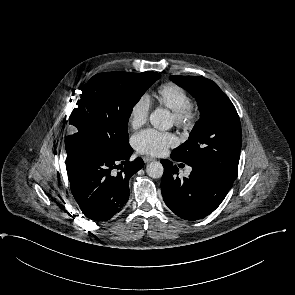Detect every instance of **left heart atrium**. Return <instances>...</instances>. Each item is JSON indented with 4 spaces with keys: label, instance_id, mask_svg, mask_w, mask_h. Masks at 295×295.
Masks as SVG:
<instances>
[{
    "label": "left heart atrium",
    "instance_id": "39dd6f15",
    "mask_svg": "<svg viewBox=\"0 0 295 295\" xmlns=\"http://www.w3.org/2000/svg\"><path fill=\"white\" fill-rule=\"evenodd\" d=\"M133 146L141 154L159 156L177 143L176 137L169 132L146 129L133 137Z\"/></svg>",
    "mask_w": 295,
    "mask_h": 295
}]
</instances>
